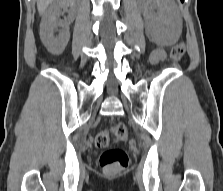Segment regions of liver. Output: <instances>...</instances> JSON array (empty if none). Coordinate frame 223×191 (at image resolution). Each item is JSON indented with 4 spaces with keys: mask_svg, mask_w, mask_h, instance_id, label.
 <instances>
[{
    "mask_svg": "<svg viewBox=\"0 0 223 191\" xmlns=\"http://www.w3.org/2000/svg\"><path fill=\"white\" fill-rule=\"evenodd\" d=\"M54 0H37V9L40 15H43L47 7L53 2Z\"/></svg>",
    "mask_w": 223,
    "mask_h": 191,
    "instance_id": "liver-1",
    "label": "liver"
}]
</instances>
